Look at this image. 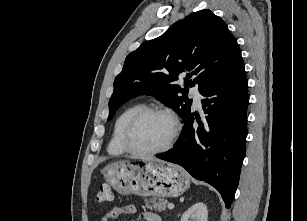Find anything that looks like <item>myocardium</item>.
<instances>
[{
	"mask_svg": "<svg viewBox=\"0 0 307 221\" xmlns=\"http://www.w3.org/2000/svg\"><path fill=\"white\" fill-rule=\"evenodd\" d=\"M150 114H161V115H164L170 118L173 123V131L169 139L161 147L153 149V150H142V149L135 147L134 144L132 143V134L135 130V127L138 125V123L144 117ZM180 130H181V126H180V122L177 116L169 109L157 107V106L144 107L140 109L138 112H136L126 123L125 128L122 133V138H121L122 145L127 152L134 154V155H138V156L157 155V154H160V153H163L169 150L172 147V145L174 144V142L176 141L180 133Z\"/></svg>",
	"mask_w": 307,
	"mask_h": 221,
	"instance_id": "myocardium-1",
	"label": "myocardium"
}]
</instances>
